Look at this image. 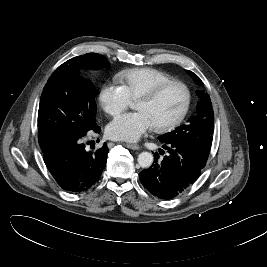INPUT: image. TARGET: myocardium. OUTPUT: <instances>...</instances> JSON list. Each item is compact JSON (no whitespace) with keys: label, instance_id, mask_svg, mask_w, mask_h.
<instances>
[{"label":"myocardium","instance_id":"myocardium-1","mask_svg":"<svg viewBox=\"0 0 267 267\" xmlns=\"http://www.w3.org/2000/svg\"><path fill=\"white\" fill-rule=\"evenodd\" d=\"M172 86H180L184 90L186 97L185 104L179 115L174 120L164 125L152 127V130L156 133H166L172 131L176 129L179 125H181L182 122L185 120L191 106V91L189 87L180 80H170L156 86L155 88L142 94L135 100V102H151L155 100L158 96H160L166 89Z\"/></svg>","mask_w":267,"mask_h":267}]
</instances>
